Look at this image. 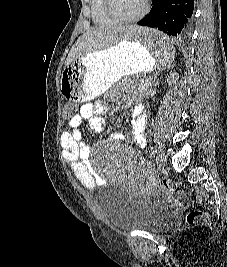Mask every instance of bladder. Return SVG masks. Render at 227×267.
<instances>
[{
    "label": "bladder",
    "instance_id": "1",
    "mask_svg": "<svg viewBox=\"0 0 227 267\" xmlns=\"http://www.w3.org/2000/svg\"><path fill=\"white\" fill-rule=\"evenodd\" d=\"M100 205L109 223L120 229L159 231L170 218V209L153 194L136 195L111 184L100 197Z\"/></svg>",
    "mask_w": 227,
    "mask_h": 267
}]
</instances>
